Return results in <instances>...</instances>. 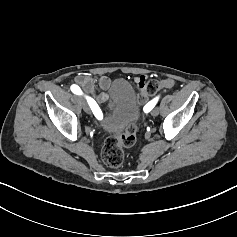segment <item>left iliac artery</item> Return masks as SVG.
Masks as SVG:
<instances>
[{
	"instance_id": "obj_1",
	"label": "left iliac artery",
	"mask_w": 237,
	"mask_h": 237,
	"mask_svg": "<svg viewBox=\"0 0 237 237\" xmlns=\"http://www.w3.org/2000/svg\"><path fill=\"white\" fill-rule=\"evenodd\" d=\"M158 99L159 97H156L154 98L153 100H151L150 102H148L145 107H144V111L147 113V112H150L154 106L156 105V103L158 102Z\"/></svg>"
}]
</instances>
